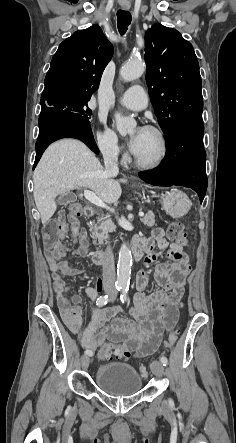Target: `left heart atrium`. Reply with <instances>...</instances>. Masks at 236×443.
I'll use <instances>...</instances> for the list:
<instances>
[{"mask_svg":"<svg viewBox=\"0 0 236 443\" xmlns=\"http://www.w3.org/2000/svg\"><path fill=\"white\" fill-rule=\"evenodd\" d=\"M146 129L147 128L145 126L138 125L129 137L128 140L129 148L134 154L139 149L140 143L142 141Z\"/></svg>","mask_w":236,"mask_h":443,"instance_id":"1","label":"left heart atrium"}]
</instances>
